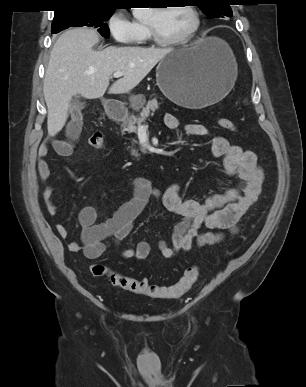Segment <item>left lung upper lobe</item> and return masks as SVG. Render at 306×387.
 <instances>
[{
    "label": "left lung upper lobe",
    "instance_id": "1",
    "mask_svg": "<svg viewBox=\"0 0 306 387\" xmlns=\"http://www.w3.org/2000/svg\"><path fill=\"white\" fill-rule=\"evenodd\" d=\"M193 2L210 18L232 16L229 0H193Z\"/></svg>",
    "mask_w": 306,
    "mask_h": 387
}]
</instances>
